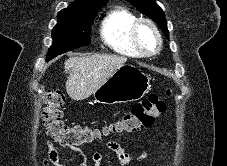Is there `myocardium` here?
I'll list each match as a JSON object with an SVG mask.
<instances>
[{
	"instance_id": "f54148a6",
	"label": "myocardium",
	"mask_w": 227,
	"mask_h": 166,
	"mask_svg": "<svg viewBox=\"0 0 227 166\" xmlns=\"http://www.w3.org/2000/svg\"><path fill=\"white\" fill-rule=\"evenodd\" d=\"M142 25L148 26L156 37L157 43L154 49L152 50H146L139 41L138 30ZM130 40L132 45L136 48V50L141 55H144V56H150V55L156 54L161 49V46H162V36L158 27L153 21L147 18H139L132 24L130 28Z\"/></svg>"
}]
</instances>
